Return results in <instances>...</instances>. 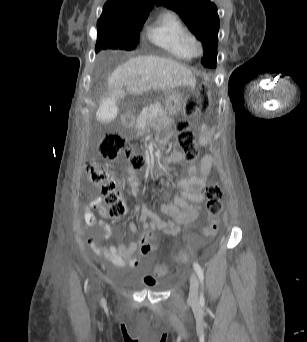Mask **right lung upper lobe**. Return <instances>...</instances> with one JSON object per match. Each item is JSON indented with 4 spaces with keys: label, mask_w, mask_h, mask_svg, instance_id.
<instances>
[{
    "label": "right lung upper lobe",
    "mask_w": 307,
    "mask_h": 342,
    "mask_svg": "<svg viewBox=\"0 0 307 342\" xmlns=\"http://www.w3.org/2000/svg\"><path fill=\"white\" fill-rule=\"evenodd\" d=\"M156 0H109L97 22L99 32L139 33Z\"/></svg>",
    "instance_id": "1"
}]
</instances>
